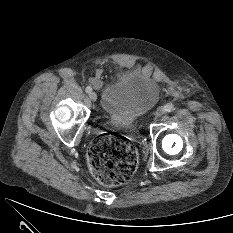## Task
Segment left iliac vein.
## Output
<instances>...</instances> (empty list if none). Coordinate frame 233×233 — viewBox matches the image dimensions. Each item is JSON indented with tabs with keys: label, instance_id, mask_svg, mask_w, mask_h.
<instances>
[{
	"label": "left iliac vein",
	"instance_id": "4c4485c4",
	"mask_svg": "<svg viewBox=\"0 0 233 233\" xmlns=\"http://www.w3.org/2000/svg\"><path fill=\"white\" fill-rule=\"evenodd\" d=\"M164 113H165L164 108L159 107V108L156 110V112H155V117H156V118H159V117H161Z\"/></svg>",
	"mask_w": 233,
	"mask_h": 233
}]
</instances>
